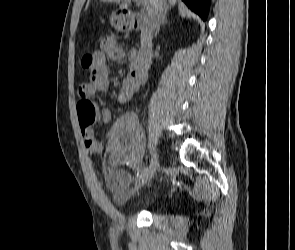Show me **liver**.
<instances>
[{"label":"liver","mask_w":295,"mask_h":250,"mask_svg":"<svg viewBox=\"0 0 295 250\" xmlns=\"http://www.w3.org/2000/svg\"><path fill=\"white\" fill-rule=\"evenodd\" d=\"M105 2H120L121 0H102ZM123 3L120 5L121 9H127L130 5L131 0H122ZM146 3L151 5L152 12L155 13L160 6L165 7L166 0H144ZM170 6H174L177 0H168Z\"/></svg>","instance_id":"liver-1"}]
</instances>
